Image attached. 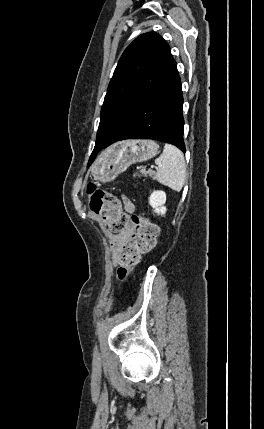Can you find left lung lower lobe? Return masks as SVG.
I'll return each instance as SVG.
<instances>
[{"label": "left lung lower lobe", "mask_w": 264, "mask_h": 429, "mask_svg": "<svg viewBox=\"0 0 264 429\" xmlns=\"http://www.w3.org/2000/svg\"><path fill=\"white\" fill-rule=\"evenodd\" d=\"M183 127L181 81L177 64L170 53L162 74L141 101L132 122L119 140L154 139L171 143L185 152ZM97 153H92L89 163Z\"/></svg>", "instance_id": "left-lung-lower-lobe-1"}]
</instances>
